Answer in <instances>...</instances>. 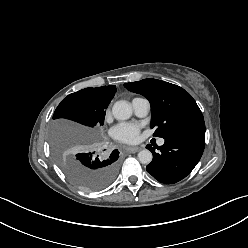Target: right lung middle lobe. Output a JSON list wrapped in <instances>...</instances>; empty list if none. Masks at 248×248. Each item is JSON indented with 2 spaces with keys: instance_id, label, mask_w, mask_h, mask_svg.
Listing matches in <instances>:
<instances>
[{
  "instance_id": "dd1d6c3e",
  "label": "right lung middle lobe",
  "mask_w": 248,
  "mask_h": 248,
  "mask_svg": "<svg viewBox=\"0 0 248 248\" xmlns=\"http://www.w3.org/2000/svg\"><path fill=\"white\" fill-rule=\"evenodd\" d=\"M112 98L92 93L87 89L69 94L56 108L53 119L66 118L85 126L104 124L106 108ZM57 163L66 176L85 191H98L110 185L119 168V155L95 154L86 151L75 154L67 148L53 145Z\"/></svg>"
}]
</instances>
